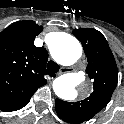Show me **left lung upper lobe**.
<instances>
[{
    "label": "left lung upper lobe",
    "instance_id": "obj_1",
    "mask_svg": "<svg viewBox=\"0 0 124 124\" xmlns=\"http://www.w3.org/2000/svg\"><path fill=\"white\" fill-rule=\"evenodd\" d=\"M82 43L87 55L86 73L93 81V91L84 100L66 102L56 99V112L70 124H80L90 120L110 101L117 86L118 70L114 56L104 35L92 28L73 30Z\"/></svg>",
    "mask_w": 124,
    "mask_h": 124
}]
</instances>
